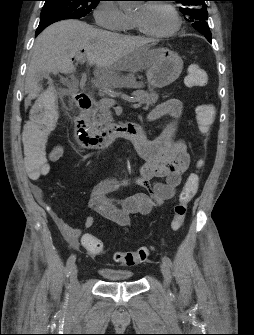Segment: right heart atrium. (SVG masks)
Here are the masks:
<instances>
[{"label": "right heart atrium", "instance_id": "right-heart-atrium-1", "mask_svg": "<svg viewBox=\"0 0 254 335\" xmlns=\"http://www.w3.org/2000/svg\"><path fill=\"white\" fill-rule=\"evenodd\" d=\"M94 18L98 26L109 30L126 31L132 26L131 18L113 1L101 2L94 11Z\"/></svg>", "mask_w": 254, "mask_h": 335}]
</instances>
